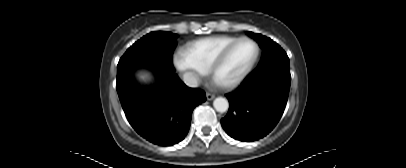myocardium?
<instances>
[{"label": "myocardium", "mask_w": 406, "mask_h": 168, "mask_svg": "<svg viewBox=\"0 0 406 168\" xmlns=\"http://www.w3.org/2000/svg\"><path fill=\"white\" fill-rule=\"evenodd\" d=\"M241 42H250L251 44H253V46L255 48V53H254L253 58L248 63V65L234 79H232L228 82H224V83L218 82L216 79V76H217L219 69L224 64V62L227 59L230 52L235 48V46H237ZM259 53H260L259 46L253 39L248 38V37L237 38L219 52V54L216 56V58L214 59L212 65L209 69V73H210L211 77L213 78V80L221 88L226 89V90L233 89V88L237 87L238 85H240L243 82V80L248 76V74L251 72V70L253 69L254 65L256 64V62L258 60Z\"/></svg>", "instance_id": "f54148a6"}]
</instances>
